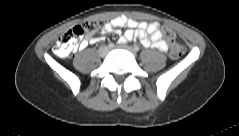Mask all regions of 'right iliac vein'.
I'll list each match as a JSON object with an SVG mask.
<instances>
[{"label":"right iliac vein","mask_w":239,"mask_h":136,"mask_svg":"<svg viewBox=\"0 0 239 136\" xmlns=\"http://www.w3.org/2000/svg\"><path fill=\"white\" fill-rule=\"evenodd\" d=\"M108 51H109L108 47L102 46V47L99 48L98 54H99L100 57H105L107 55Z\"/></svg>","instance_id":"obj_1"}]
</instances>
